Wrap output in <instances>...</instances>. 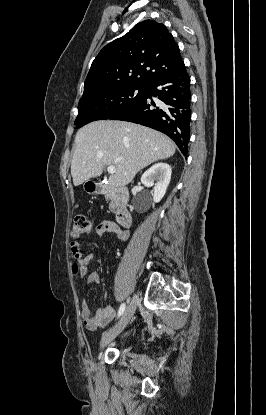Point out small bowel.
Instances as JSON below:
<instances>
[{
    "instance_id": "small-bowel-1",
    "label": "small bowel",
    "mask_w": 266,
    "mask_h": 415,
    "mask_svg": "<svg viewBox=\"0 0 266 415\" xmlns=\"http://www.w3.org/2000/svg\"><path fill=\"white\" fill-rule=\"evenodd\" d=\"M96 234L98 236L111 234L120 241H126L129 238L128 231L121 229L110 220H103L100 222L96 227ZM70 250L73 257L81 265L79 272L80 277H84L87 273V265L95 259V255L89 254L85 257H82L81 246L78 242H71ZM86 282L88 284L99 283V273L97 271L90 272L87 275ZM115 313L116 311L112 306L105 305L104 307L98 309L95 315H92L88 303L85 300L81 302V318L85 327L90 330H95L99 327L106 326L114 318Z\"/></svg>"
}]
</instances>
